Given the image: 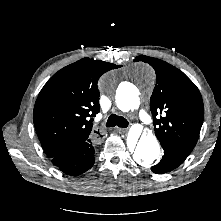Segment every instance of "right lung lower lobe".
<instances>
[{
    "label": "right lung lower lobe",
    "instance_id": "obj_1",
    "mask_svg": "<svg viewBox=\"0 0 221 221\" xmlns=\"http://www.w3.org/2000/svg\"><path fill=\"white\" fill-rule=\"evenodd\" d=\"M93 140L77 144L63 153L51 158L52 163L68 175H79L94 164Z\"/></svg>",
    "mask_w": 221,
    "mask_h": 221
}]
</instances>
